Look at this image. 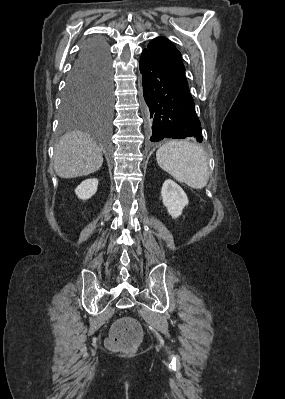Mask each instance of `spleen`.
Segmentation results:
<instances>
[{
    "label": "spleen",
    "instance_id": "1",
    "mask_svg": "<svg viewBox=\"0 0 285 399\" xmlns=\"http://www.w3.org/2000/svg\"><path fill=\"white\" fill-rule=\"evenodd\" d=\"M158 165L174 179L191 188L202 189L209 179V166L205 151L184 140H171L156 152Z\"/></svg>",
    "mask_w": 285,
    "mask_h": 399
}]
</instances>
